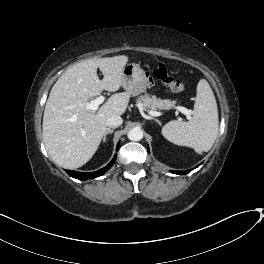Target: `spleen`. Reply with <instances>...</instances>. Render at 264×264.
Returning <instances> with one entry per match:
<instances>
[{"instance_id":"1","label":"spleen","mask_w":264,"mask_h":264,"mask_svg":"<svg viewBox=\"0 0 264 264\" xmlns=\"http://www.w3.org/2000/svg\"><path fill=\"white\" fill-rule=\"evenodd\" d=\"M218 109L215 96L205 79L197 84L193 117L188 122L172 120L162 128L170 142L193 148L197 153L209 151L218 134Z\"/></svg>"}]
</instances>
